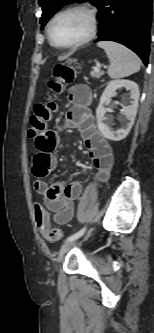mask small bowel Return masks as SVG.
I'll use <instances>...</instances> for the list:
<instances>
[{
  "label": "small bowel",
  "mask_w": 154,
  "mask_h": 333,
  "mask_svg": "<svg viewBox=\"0 0 154 333\" xmlns=\"http://www.w3.org/2000/svg\"><path fill=\"white\" fill-rule=\"evenodd\" d=\"M67 97L71 103L66 117L67 126L80 132L91 161L97 169L98 180L103 182L109 177L113 152L108 140L98 130L89 108L92 100L91 91L84 84H76L68 90ZM34 143L36 153L32 161V170L38 179L34 182L33 188L43 197L46 209L53 213V221L60 225L66 224L74 216V202L82 194V184L74 181L68 184L55 182L49 185L42 180L57 165L55 150L58 135L54 130L45 127L34 138Z\"/></svg>",
  "instance_id": "obj_1"
}]
</instances>
